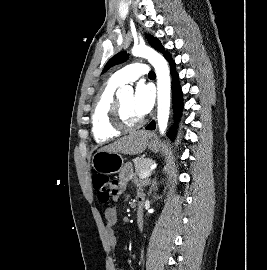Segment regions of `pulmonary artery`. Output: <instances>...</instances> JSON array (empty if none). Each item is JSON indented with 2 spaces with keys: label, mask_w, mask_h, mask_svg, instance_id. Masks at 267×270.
I'll use <instances>...</instances> for the list:
<instances>
[{
  "label": "pulmonary artery",
  "mask_w": 267,
  "mask_h": 270,
  "mask_svg": "<svg viewBox=\"0 0 267 270\" xmlns=\"http://www.w3.org/2000/svg\"><path fill=\"white\" fill-rule=\"evenodd\" d=\"M149 68L146 64L133 63L123 67L122 69L116 71L112 75V79L123 85L132 81H135L140 76L148 74Z\"/></svg>",
  "instance_id": "1"
}]
</instances>
